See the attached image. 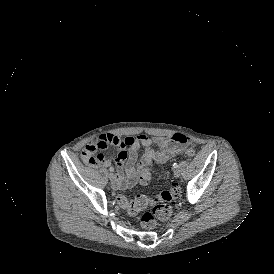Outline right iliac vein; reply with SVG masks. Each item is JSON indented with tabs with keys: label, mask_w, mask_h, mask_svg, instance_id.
<instances>
[{
	"label": "right iliac vein",
	"mask_w": 274,
	"mask_h": 274,
	"mask_svg": "<svg viewBox=\"0 0 274 274\" xmlns=\"http://www.w3.org/2000/svg\"><path fill=\"white\" fill-rule=\"evenodd\" d=\"M109 179L111 180L113 185H116V176L114 173L109 174Z\"/></svg>",
	"instance_id": "right-iliac-vein-1"
}]
</instances>
